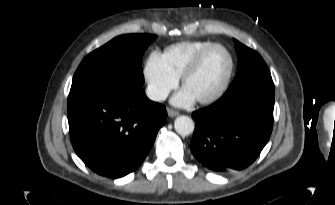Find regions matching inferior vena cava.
<instances>
[{"instance_id": "inferior-vena-cava-1", "label": "inferior vena cava", "mask_w": 335, "mask_h": 205, "mask_svg": "<svg viewBox=\"0 0 335 205\" xmlns=\"http://www.w3.org/2000/svg\"><path fill=\"white\" fill-rule=\"evenodd\" d=\"M146 95L149 99L153 101H162L167 98L168 92L165 90H161L155 87L148 86L146 90Z\"/></svg>"}]
</instances>
